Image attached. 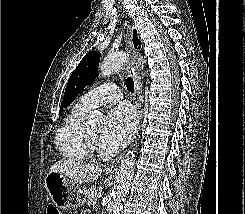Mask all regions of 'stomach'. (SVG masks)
<instances>
[{"label": "stomach", "mask_w": 245, "mask_h": 214, "mask_svg": "<svg viewBox=\"0 0 245 214\" xmlns=\"http://www.w3.org/2000/svg\"><path fill=\"white\" fill-rule=\"evenodd\" d=\"M44 185L51 202L57 209H72L82 206L88 194L87 187L57 171H50Z\"/></svg>", "instance_id": "1"}]
</instances>
